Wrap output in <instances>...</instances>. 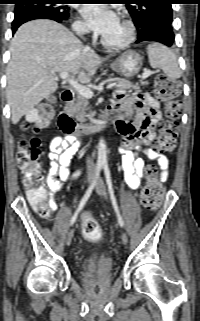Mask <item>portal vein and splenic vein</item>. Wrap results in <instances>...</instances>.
I'll return each mask as SVG.
<instances>
[{
  "label": "portal vein and splenic vein",
  "mask_w": 200,
  "mask_h": 321,
  "mask_svg": "<svg viewBox=\"0 0 200 321\" xmlns=\"http://www.w3.org/2000/svg\"><path fill=\"white\" fill-rule=\"evenodd\" d=\"M153 73L154 72L151 70H145L141 77H142V79H145V78L149 77L150 75H152ZM60 78L63 80H66L69 83V85L73 89H75L80 95H82L88 99L93 97V92L91 91V89L81 85L73 78H70L69 73H67V72L60 73ZM115 86H116L115 83H111V84L107 85V89H111Z\"/></svg>",
  "instance_id": "18ae733b"
}]
</instances>
